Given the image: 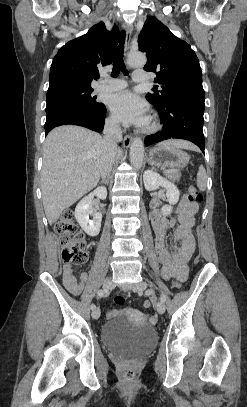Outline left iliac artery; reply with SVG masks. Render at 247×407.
Returning <instances> with one entry per match:
<instances>
[{
	"label": "left iliac artery",
	"mask_w": 247,
	"mask_h": 407,
	"mask_svg": "<svg viewBox=\"0 0 247 407\" xmlns=\"http://www.w3.org/2000/svg\"><path fill=\"white\" fill-rule=\"evenodd\" d=\"M151 293H153V289H149V290L146 291V294H147V295H150ZM160 300H161V302H163V303L165 302L166 297H165L164 294H161Z\"/></svg>",
	"instance_id": "left-iliac-artery-1"
}]
</instances>
